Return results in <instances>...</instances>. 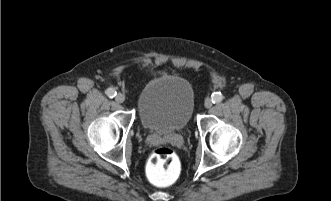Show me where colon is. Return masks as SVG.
<instances>
[{"label": "colon", "mask_w": 331, "mask_h": 201, "mask_svg": "<svg viewBox=\"0 0 331 201\" xmlns=\"http://www.w3.org/2000/svg\"><path fill=\"white\" fill-rule=\"evenodd\" d=\"M181 164L176 152L169 147H158L151 153L147 165L148 179L156 186L166 187L179 177Z\"/></svg>", "instance_id": "1"}]
</instances>
